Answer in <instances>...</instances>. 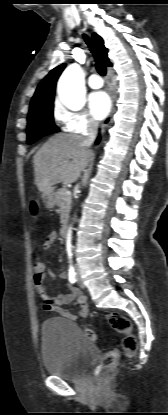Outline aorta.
I'll list each match as a JSON object with an SVG mask.
<instances>
[{
    "label": "aorta",
    "mask_w": 168,
    "mask_h": 415,
    "mask_svg": "<svg viewBox=\"0 0 168 415\" xmlns=\"http://www.w3.org/2000/svg\"><path fill=\"white\" fill-rule=\"evenodd\" d=\"M58 95L61 102L71 110H80L85 105L86 91L83 85V70L73 64L62 73L58 81ZM72 228L69 227L66 236V248L69 257L72 256L71 249Z\"/></svg>",
    "instance_id": "aorta-1"
}]
</instances>
